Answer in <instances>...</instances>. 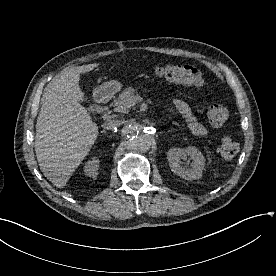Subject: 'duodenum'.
Returning a JSON list of instances; mask_svg holds the SVG:
<instances>
[{
    "label": "duodenum",
    "mask_w": 276,
    "mask_h": 276,
    "mask_svg": "<svg viewBox=\"0 0 276 276\" xmlns=\"http://www.w3.org/2000/svg\"><path fill=\"white\" fill-rule=\"evenodd\" d=\"M96 99L100 103H106L109 100V94L107 92H105V91H100L97 94Z\"/></svg>",
    "instance_id": "duodenum-1"
}]
</instances>
